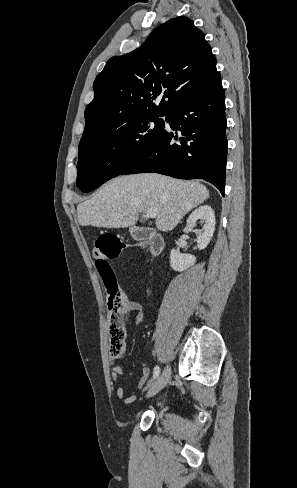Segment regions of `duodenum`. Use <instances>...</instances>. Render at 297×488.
Segmentation results:
<instances>
[{
    "label": "duodenum",
    "instance_id": "410a0bca",
    "mask_svg": "<svg viewBox=\"0 0 297 488\" xmlns=\"http://www.w3.org/2000/svg\"><path fill=\"white\" fill-rule=\"evenodd\" d=\"M133 236L136 240L148 241L154 256L158 255L163 248L162 237L150 229L137 227L133 230Z\"/></svg>",
    "mask_w": 297,
    "mask_h": 488
}]
</instances>
